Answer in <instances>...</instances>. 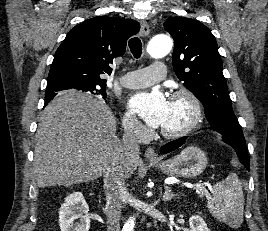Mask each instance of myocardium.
Wrapping results in <instances>:
<instances>
[{
	"instance_id": "myocardium-1",
	"label": "myocardium",
	"mask_w": 268,
	"mask_h": 231,
	"mask_svg": "<svg viewBox=\"0 0 268 231\" xmlns=\"http://www.w3.org/2000/svg\"><path fill=\"white\" fill-rule=\"evenodd\" d=\"M184 99L191 105L192 116L190 120L180 129L175 131H167L162 128L158 130V133L165 138H179L186 136L192 132L201 122L203 117V108L199 98L188 89H180L170 94L169 100Z\"/></svg>"
}]
</instances>
